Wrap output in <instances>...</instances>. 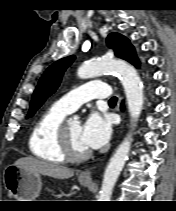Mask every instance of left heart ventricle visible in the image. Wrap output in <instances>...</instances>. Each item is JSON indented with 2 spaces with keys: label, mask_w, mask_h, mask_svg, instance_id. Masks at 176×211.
I'll return each mask as SVG.
<instances>
[{
  "label": "left heart ventricle",
  "mask_w": 176,
  "mask_h": 211,
  "mask_svg": "<svg viewBox=\"0 0 176 211\" xmlns=\"http://www.w3.org/2000/svg\"><path fill=\"white\" fill-rule=\"evenodd\" d=\"M68 134L75 150L83 152L88 150V148L83 144L81 140V130L82 126L78 122L69 121L67 124Z\"/></svg>",
  "instance_id": "obj_1"
}]
</instances>
